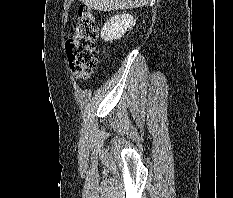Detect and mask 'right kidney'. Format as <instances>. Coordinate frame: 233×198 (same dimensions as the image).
<instances>
[{
  "mask_svg": "<svg viewBox=\"0 0 233 198\" xmlns=\"http://www.w3.org/2000/svg\"><path fill=\"white\" fill-rule=\"evenodd\" d=\"M135 23L136 20L134 17L128 13L115 15L104 24L101 30V37L105 42L119 39L129 31Z\"/></svg>",
  "mask_w": 233,
  "mask_h": 198,
  "instance_id": "ca27d5eb",
  "label": "right kidney"
}]
</instances>
